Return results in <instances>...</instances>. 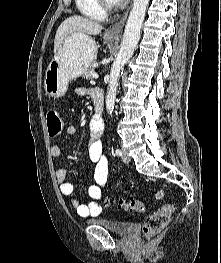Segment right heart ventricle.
Here are the masks:
<instances>
[{
  "label": "right heart ventricle",
  "instance_id": "1",
  "mask_svg": "<svg viewBox=\"0 0 221 263\" xmlns=\"http://www.w3.org/2000/svg\"><path fill=\"white\" fill-rule=\"evenodd\" d=\"M79 12L94 21H104L106 11L100 6L97 0H75Z\"/></svg>",
  "mask_w": 221,
  "mask_h": 263
}]
</instances>
